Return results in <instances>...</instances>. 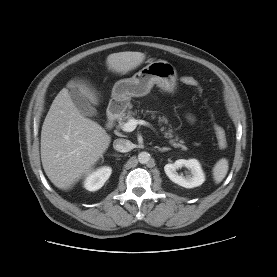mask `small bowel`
I'll use <instances>...</instances> for the list:
<instances>
[{
	"instance_id": "c3829d8e",
	"label": "small bowel",
	"mask_w": 277,
	"mask_h": 277,
	"mask_svg": "<svg viewBox=\"0 0 277 277\" xmlns=\"http://www.w3.org/2000/svg\"><path fill=\"white\" fill-rule=\"evenodd\" d=\"M189 119H190V120H193V117L190 116Z\"/></svg>"
}]
</instances>
